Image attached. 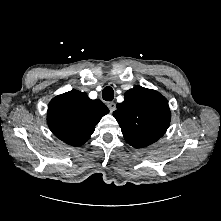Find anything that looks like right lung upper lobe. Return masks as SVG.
I'll return each instance as SVG.
<instances>
[{"mask_svg": "<svg viewBox=\"0 0 221 221\" xmlns=\"http://www.w3.org/2000/svg\"><path fill=\"white\" fill-rule=\"evenodd\" d=\"M108 112L100 100H91L86 93L71 90L50 101L47 123L57 138L69 145L81 146Z\"/></svg>", "mask_w": 221, "mask_h": 221, "instance_id": "right-lung-upper-lobe-1", "label": "right lung upper lobe"}]
</instances>
